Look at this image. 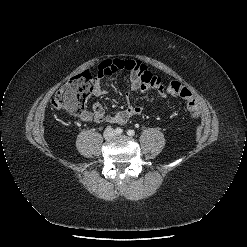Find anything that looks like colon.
<instances>
[{
    "label": "colon",
    "mask_w": 247,
    "mask_h": 247,
    "mask_svg": "<svg viewBox=\"0 0 247 247\" xmlns=\"http://www.w3.org/2000/svg\"><path fill=\"white\" fill-rule=\"evenodd\" d=\"M93 92L92 76L89 71H85L65 83L53 97L52 105L56 109L79 115L84 112L87 100ZM166 93L171 97L184 99L190 115L193 118L199 116L200 110L198 103L188 88L177 81H172L167 85Z\"/></svg>",
    "instance_id": "1"
}]
</instances>
